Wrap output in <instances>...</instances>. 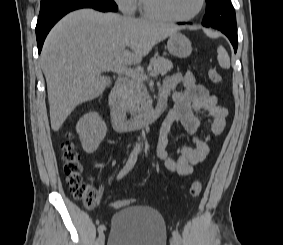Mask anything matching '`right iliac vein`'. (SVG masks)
I'll use <instances>...</instances> for the list:
<instances>
[{
	"label": "right iliac vein",
	"mask_w": 283,
	"mask_h": 245,
	"mask_svg": "<svg viewBox=\"0 0 283 245\" xmlns=\"http://www.w3.org/2000/svg\"><path fill=\"white\" fill-rule=\"evenodd\" d=\"M98 241H99V245H104V243H105V235H104L103 232L99 233Z\"/></svg>",
	"instance_id": "1"
}]
</instances>
